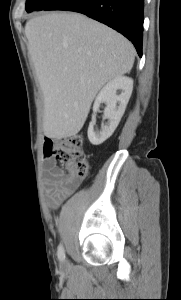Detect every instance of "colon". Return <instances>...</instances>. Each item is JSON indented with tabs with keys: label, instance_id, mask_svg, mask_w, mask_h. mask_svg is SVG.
<instances>
[{
	"label": "colon",
	"instance_id": "5ec220e1",
	"mask_svg": "<svg viewBox=\"0 0 181 300\" xmlns=\"http://www.w3.org/2000/svg\"><path fill=\"white\" fill-rule=\"evenodd\" d=\"M45 155L53 156L72 178L82 179L88 170V163L83 156L82 140L79 137L47 140Z\"/></svg>",
	"mask_w": 181,
	"mask_h": 300
}]
</instances>
